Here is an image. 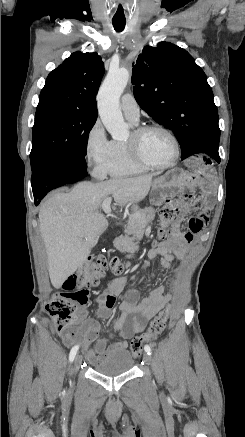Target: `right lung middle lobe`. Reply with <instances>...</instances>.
Returning <instances> with one entry per match:
<instances>
[{
	"mask_svg": "<svg viewBox=\"0 0 245 437\" xmlns=\"http://www.w3.org/2000/svg\"><path fill=\"white\" fill-rule=\"evenodd\" d=\"M96 119L97 115L62 106L37 107L30 153L31 169L49 159L85 164L88 136Z\"/></svg>",
	"mask_w": 245,
	"mask_h": 437,
	"instance_id": "dd1d6c3e",
	"label": "right lung middle lobe"
}]
</instances>
